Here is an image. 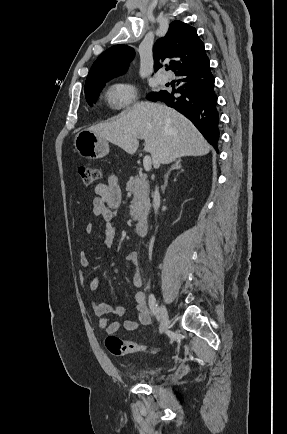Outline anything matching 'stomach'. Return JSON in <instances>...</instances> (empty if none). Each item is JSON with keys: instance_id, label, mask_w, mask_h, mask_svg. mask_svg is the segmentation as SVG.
Here are the masks:
<instances>
[{"instance_id": "0dacf381", "label": "stomach", "mask_w": 287, "mask_h": 434, "mask_svg": "<svg viewBox=\"0 0 287 434\" xmlns=\"http://www.w3.org/2000/svg\"><path fill=\"white\" fill-rule=\"evenodd\" d=\"M75 149L80 156L95 160L109 153L108 142L89 129L79 131L74 139Z\"/></svg>"}]
</instances>
